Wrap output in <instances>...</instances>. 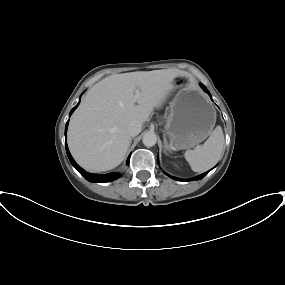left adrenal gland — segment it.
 <instances>
[{"label": "left adrenal gland", "instance_id": "a2214340", "mask_svg": "<svg viewBox=\"0 0 285 285\" xmlns=\"http://www.w3.org/2000/svg\"><path fill=\"white\" fill-rule=\"evenodd\" d=\"M164 147H165V153H166V154H167L166 151L171 152V151H170V148H169V146H168V143H167V140H166L165 135H164Z\"/></svg>", "mask_w": 285, "mask_h": 285}]
</instances>
